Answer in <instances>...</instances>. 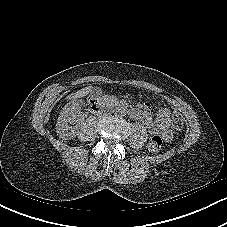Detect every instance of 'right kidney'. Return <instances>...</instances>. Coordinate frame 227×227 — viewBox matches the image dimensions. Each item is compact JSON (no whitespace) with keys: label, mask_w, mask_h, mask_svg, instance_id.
Returning <instances> with one entry per match:
<instances>
[{"label":"right kidney","mask_w":227,"mask_h":227,"mask_svg":"<svg viewBox=\"0 0 227 227\" xmlns=\"http://www.w3.org/2000/svg\"><path fill=\"white\" fill-rule=\"evenodd\" d=\"M74 105V103H73ZM74 107L72 105H66L59 117V123L64 128L68 127V123L71 120L70 115H73ZM73 119V118H72Z\"/></svg>","instance_id":"1"}]
</instances>
